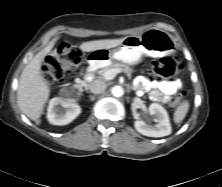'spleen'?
<instances>
[{
  "label": "spleen",
  "mask_w": 222,
  "mask_h": 187,
  "mask_svg": "<svg viewBox=\"0 0 222 187\" xmlns=\"http://www.w3.org/2000/svg\"><path fill=\"white\" fill-rule=\"evenodd\" d=\"M189 106H190L189 102L184 101L176 108L174 112V118H173L176 124H179L184 120V118L186 117L188 113Z\"/></svg>",
  "instance_id": "1"
}]
</instances>
